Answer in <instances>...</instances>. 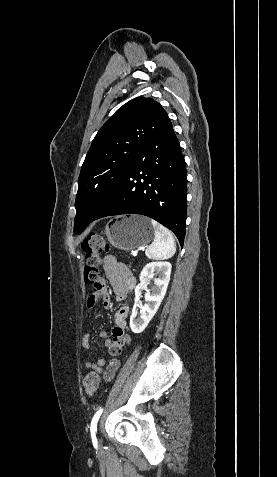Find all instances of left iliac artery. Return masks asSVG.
I'll use <instances>...</instances> for the list:
<instances>
[{"label": "left iliac artery", "mask_w": 277, "mask_h": 477, "mask_svg": "<svg viewBox=\"0 0 277 477\" xmlns=\"http://www.w3.org/2000/svg\"><path fill=\"white\" fill-rule=\"evenodd\" d=\"M102 411H103V409L98 410V411L95 413V415H94V417H93V419H92V421H91L90 430H91V433H93V434L96 433V431H97V422H98V420H99V418H100V415H101Z\"/></svg>", "instance_id": "left-iliac-artery-1"}]
</instances>
